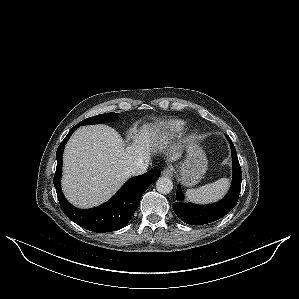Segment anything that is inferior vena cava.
Segmentation results:
<instances>
[{"instance_id":"1","label":"inferior vena cava","mask_w":299,"mask_h":299,"mask_svg":"<svg viewBox=\"0 0 299 299\" xmlns=\"http://www.w3.org/2000/svg\"><path fill=\"white\" fill-rule=\"evenodd\" d=\"M149 164L150 163L147 161L142 162V163L138 164L137 166L130 168L128 173L132 176L144 174L147 171Z\"/></svg>"}]
</instances>
